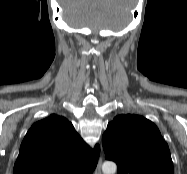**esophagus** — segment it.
Here are the masks:
<instances>
[{
    "mask_svg": "<svg viewBox=\"0 0 187 174\" xmlns=\"http://www.w3.org/2000/svg\"><path fill=\"white\" fill-rule=\"evenodd\" d=\"M101 167H102V159L100 158L97 163L94 174H101Z\"/></svg>",
    "mask_w": 187,
    "mask_h": 174,
    "instance_id": "obj_1",
    "label": "esophagus"
}]
</instances>
